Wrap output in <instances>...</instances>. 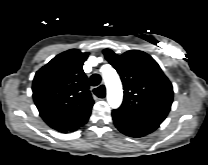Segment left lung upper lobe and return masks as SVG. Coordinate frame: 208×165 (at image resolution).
<instances>
[{
  "mask_svg": "<svg viewBox=\"0 0 208 165\" xmlns=\"http://www.w3.org/2000/svg\"><path fill=\"white\" fill-rule=\"evenodd\" d=\"M103 53L119 73L124 86L123 103L115 111L132 119L160 125L171 109L173 87L158 63L139 50L118 55L104 49Z\"/></svg>",
  "mask_w": 208,
  "mask_h": 165,
  "instance_id": "left-lung-upper-lobe-1",
  "label": "left lung upper lobe"
}]
</instances>
